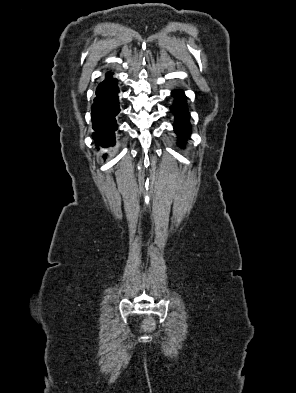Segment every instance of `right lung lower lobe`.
Segmentation results:
<instances>
[{"label":"right lung lower lobe","mask_w":296,"mask_h":393,"mask_svg":"<svg viewBox=\"0 0 296 393\" xmlns=\"http://www.w3.org/2000/svg\"><path fill=\"white\" fill-rule=\"evenodd\" d=\"M118 92L117 80L107 73L105 80L97 87L91 112L92 127L95 131L93 138L97 146L109 147L115 144V116L120 111Z\"/></svg>","instance_id":"1"}]
</instances>
